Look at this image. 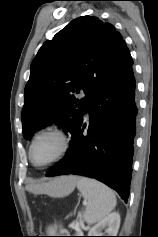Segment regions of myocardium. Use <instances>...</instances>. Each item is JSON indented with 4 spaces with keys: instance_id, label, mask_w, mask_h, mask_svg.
<instances>
[{
    "instance_id": "1",
    "label": "myocardium",
    "mask_w": 158,
    "mask_h": 237,
    "mask_svg": "<svg viewBox=\"0 0 158 237\" xmlns=\"http://www.w3.org/2000/svg\"><path fill=\"white\" fill-rule=\"evenodd\" d=\"M47 134L55 135L60 139L61 149L58 152V154L54 158H52L50 161H48L42 165H38L33 160L32 150H33L34 144L37 141V139H39L41 136L47 135ZM69 149H70L69 135L62 128H60L58 126H49V127L43 128L42 130L38 131L32 138L30 146H29V152H28L29 160H30L31 164L36 168H40V169L47 168V167L51 166L52 164L56 163L57 161H59L60 159H62L67 154Z\"/></svg>"
}]
</instances>
